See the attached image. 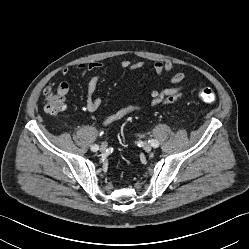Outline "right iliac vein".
I'll return each mask as SVG.
<instances>
[{
  "mask_svg": "<svg viewBox=\"0 0 249 249\" xmlns=\"http://www.w3.org/2000/svg\"><path fill=\"white\" fill-rule=\"evenodd\" d=\"M107 149V144L106 143H102L100 146V151L104 152Z\"/></svg>",
  "mask_w": 249,
  "mask_h": 249,
  "instance_id": "obj_1",
  "label": "right iliac vein"
}]
</instances>
